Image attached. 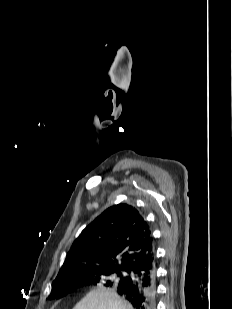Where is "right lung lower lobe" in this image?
Instances as JSON below:
<instances>
[{
  "instance_id": "right-lung-lower-lobe-1",
  "label": "right lung lower lobe",
  "mask_w": 232,
  "mask_h": 309,
  "mask_svg": "<svg viewBox=\"0 0 232 309\" xmlns=\"http://www.w3.org/2000/svg\"><path fill=\"white\" fill-rule=\"evenodd\" d=\"M126 280L116 291L136 309H156V275L154 257H145L126 270Z\"/></svg>"
}]
</instances>
